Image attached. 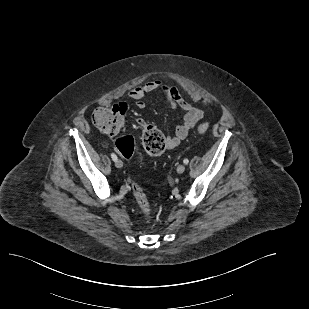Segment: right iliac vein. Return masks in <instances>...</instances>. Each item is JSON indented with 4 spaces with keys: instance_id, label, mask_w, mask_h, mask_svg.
<instances>
[{
    "instance_id": "63e3f726",
    "label": "right iliac vein",
    "mask_w": 309,
    "mask_h": 309,
    "mask_svg": "<svg viewBox=\"0 0 309 309\" xmlns=\"http://www.w3.org/2000/svg\"><path fill=\"white\" fill-rule=\"evenodd\" d=\"M115 166H116L117 168H122V167H123V162H122L121 160L117 159V160L115 161Z\"/></svg>"
}]
</instances>
